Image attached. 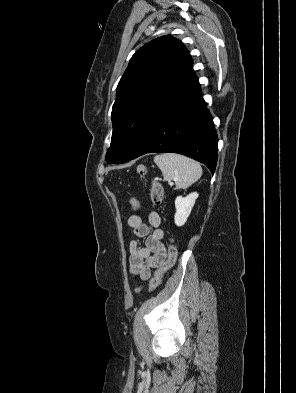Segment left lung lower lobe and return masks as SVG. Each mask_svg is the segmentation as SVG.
<instances>
[{
    "label": "left lung lower lobe",
    "mask_w": 296,
    "mask_h": 393,
    "mask_svg": "<svg viewBox=\"0 0 296 393\" xmlns=\"http://www.w3.org/2000/svg\"><path fill=\"white\" fill-rule=\"evenodd\" d=\"M217 151V133L195 77L160 113L128 160L152 152L179 153L213 174Z\"/></svg>",
    "instance_id": "left-lung-lower-lobe-1"
}]
</instances>
